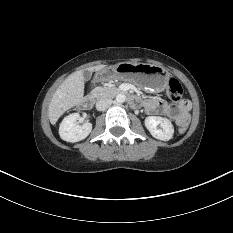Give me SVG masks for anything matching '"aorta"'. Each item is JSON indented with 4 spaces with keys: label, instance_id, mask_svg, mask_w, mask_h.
Instances as JSON below:
<instances>
[{
    "label": "aorta",
    "instance_id": "1",
    "mask_svg": "<svg viewBox=\"0 0 233 233\" xmlns=\"http://www.w3.org/2000/svg\"><path fill=\"white\" fill-rule=\"evenodd\" d=\"M125 99H126V97H125V95H123V94H118V95L116 96V102H117V103H124V102H125Z\"/></svg>",
    "mask_w": 233,
    "mask_h": 233
}]
</instances>
